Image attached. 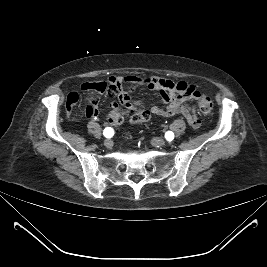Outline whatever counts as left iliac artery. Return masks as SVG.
I'll return each mask as SVG.
<instances>
[{"mask_svg": "<svg viewBox=\"0 0 267 267\" xmlns=\"http://www.w3.org/2000/svg\"><path fill=\"white\" fill-rule=\"evenodd\" d=\"M165 138H166L168 141H171V140H173V138H174V134H173L171 131H168V132H166V134H165Z\"/></svg>", "mask_w": 267, "mask_h": 267, "instance_id": "1", "label": "left iliac artery"}]
</instances>
